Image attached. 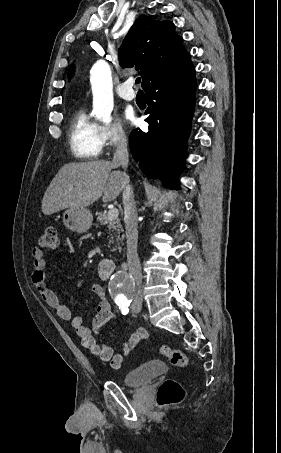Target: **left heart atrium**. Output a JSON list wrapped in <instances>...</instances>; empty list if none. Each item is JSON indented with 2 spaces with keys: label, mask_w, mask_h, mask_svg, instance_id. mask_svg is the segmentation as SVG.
Wrapping results in <instances>:
<instances>
[{
  "label": "left heart atrium",
  "mask_w": 281,
  "mask_h": 453,
  "mask_svg": "<svg viewBox=\"0 0 281 453\" xmlns=\"http://www.w3.org/2000/svg\"><path fill=\"white\" fill-rule=\"evenodd\" d=\"M122 118L128 123H133L135 121V115H134L133 109L130 107H126L122 111Z\"/></svg>",
  "instance_id": "1"
}]
</instances>
